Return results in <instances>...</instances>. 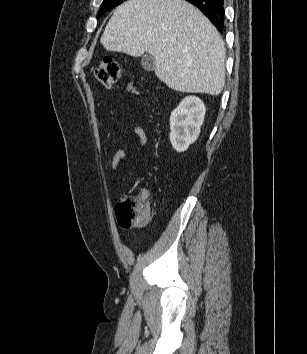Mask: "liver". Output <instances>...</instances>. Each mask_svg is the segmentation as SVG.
<instances>
[{
  "instance_id": "1",
  "label": "liver",
  "mask_w": 307,
  "mask_h": 354,
  "mask_svg": "<svg viewBox=\"0 0 307 354\" xmlns=\"http://www.w3.org/2000/svg\"><path fill=\"white\" fill-rule=\"evenodd\" d=\"M107 51L155 59L169 88L219 95L225 84V47L219 32L184 0H128L118 6L100 40Z\"/></svg>"
}]
</instances>
